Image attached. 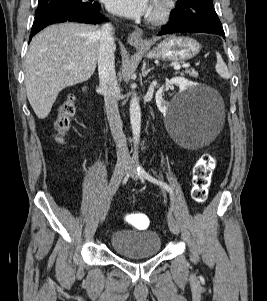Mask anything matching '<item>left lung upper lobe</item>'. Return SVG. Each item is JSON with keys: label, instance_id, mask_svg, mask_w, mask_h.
<instances>
[{"label": "left lung upper lobe", "instance_id": "left-lung-upper-lobe-1", "mask_svg": "<svg viewBox=\"0 0 267 301\" xmlns=\"http://www.w3.org/2000/svg\"><path fill=\"white\" fill-rule=\"evenodd\" d=\"M176 6L177 8L170 14L172 23H201L217 31H223L213 0H178Z\"/></svg>", "mask_w": 267, "mask_h": 301}]
</instances>
